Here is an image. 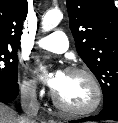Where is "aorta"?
Segmentation results:
<instances>
[{
    "label": "aorta",
    "instance_id": "1",
    "mask_svg": "<svg viewBox=\"0 0 118 123\" xmlns=\"http://www.w3.org/2000/svg\"><path fill=\"white\" fill-rule=\"evenodd\" d=\"M63 14L58 9L48 11L42 18V29L43 31H50L55 28L61 21Z\"/></svg>",
    "mask_w": 118,
    "mask_h": 123
}]
</instances>
